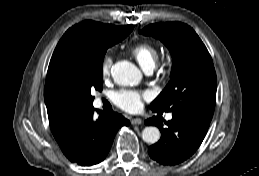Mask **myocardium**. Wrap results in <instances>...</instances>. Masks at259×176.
Segmentation results:
<instances>
[{"mask_svg": "<svg viewBox=\"0 0 259 176\" xmlns=\"http://www.w3.org/2000/svg\"><path fill=\"white\" fill-rule=\"evenodd\" d=\"M170 63V61L168 60L167 62H166V64H169Z\"/></svg>", "mask_w": 259, "mask_h": 176, "instance_id": "f54148a6", "label": "myocardium"}]
</instances>
